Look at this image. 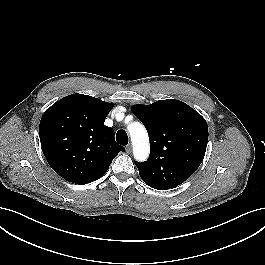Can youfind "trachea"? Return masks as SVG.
<instances>
[{
	"mask_svg": "<svg viewBox=\"0 0 265 265\" xmlns=\"http://www.w3.org/2000/svg\"><path fill=\"white\" fill-rule=\"evenodd\" d=\"M116 141L120 144V145H127L128 144V135L126 133V131L124 130H119L116 134Z\"/></svg>",
	"mask_w": 265,
	"mask_h": 265,
	"instance_id": "1",
	"label": "trachea"
}]
</instances>
